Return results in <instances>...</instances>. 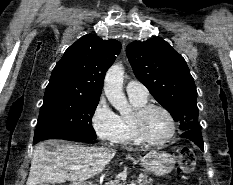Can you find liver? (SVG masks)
Listing matches in <instances>:
<instances>
[{"instance_id":"1","label":"liver","mask_w":233,"mask_h":185,"mask_svg":"<svg viewBox=\"0 0 233 185\" xmlns=\"http://www.w3.org/2000/svg\"><path fill=\"white\" fill-rule=\"evenodd\" d=\"M46 144L54 145L47 150ZM116 150L104 147L86 148L57 140L40 142L33 152L29 177L26 185L40 183H63L72 181V185H80L85 180L100 174L115 156ZM73 165H81L73 170Z\"/></svg>"}]
</instances>
